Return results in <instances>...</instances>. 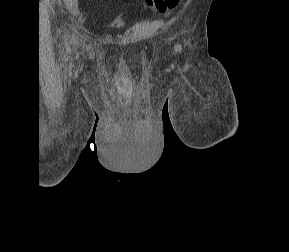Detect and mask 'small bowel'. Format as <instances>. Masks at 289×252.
<instances>
[{
	"instance_id": "1",
	"label": "small bowel",
	"mask_w": 289,
	"mask_h": 252,
	"mask_svg": "<svg viewBox=\"0 0 289 252\" xmlns=\"http://www.w3.org/2000/svg\"><path fill=\"white\" fill-rule=\"evenodd\" d=\"M65 7L71 13H78L79 12V0H63Z\"/></svg>"
}]
</instances>
